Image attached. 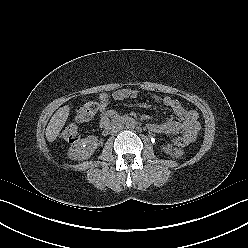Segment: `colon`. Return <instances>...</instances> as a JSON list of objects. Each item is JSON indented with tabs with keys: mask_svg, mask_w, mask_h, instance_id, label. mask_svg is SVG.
Listing matches in <instances>:
<instances>
[{
	"mask_svg": "<svg viewBox=\"0 0 248 248\" xmlns=\"http://www.w3.org/2000/svg\"><path fill=\"white\" fill-rule=\"evenodd\" d=\"M99 110V103L90 101L79 107L76 111V120L79 122L89 121ZM79 137V130L75 123H69L61 132V139L65 142L73 143ZM174 145L185 147L190 140L184 136L177 137L173 140Z\"/></svg>",
	"mask_w": 248,
	"mask_h": 248,
	"instance_id": "obj_1",
	"label": "colon"
}]
</instances>
